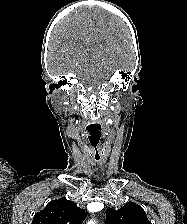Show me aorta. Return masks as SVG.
Listing matches in <instances>:
<instances>
[{
  "label": "aorta",
  "instance_id": "1",
  "mask_svg": "<svg viewBox=\"0 0 187 224\" xmlns=\"http://www.w3.org/2000/svg\"><path fill=\"white\" fill-rule=\"evenodd\" d=\"M87 224H96L95 220H90Z\"/></svg>",
  "mask_w": 187,
  "mask_h": 224
}]
</instances>
